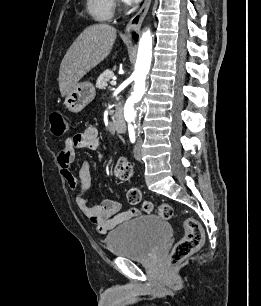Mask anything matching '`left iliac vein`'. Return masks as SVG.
I'll return each mask as SVG.
<instances>
[{
  "instance_id": "4c4485c4",
  "label": "left iliac vein",
  "mask_w": 261,
  "mask_h": 306,
  "mask_svg": "<svg viewBox=\"0 0 261 306\" xmlns=\"http://www.w3.org/2000/svg\"><path fill=\"white\" fill-rule=\"evenodd\" d=\"M134 157L136 160H141L142 157V140L138 139L134 148Z\"/></svg>"
}]
</instances>
